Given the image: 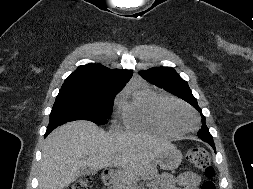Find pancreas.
Segmentation results:
<instances>
[{
    "label": "pancreas",
    "instance_id": "cf45deb5",
    "mask_svg": "<svg viewBox=\"0 0 253 189\" xmlns=\"http://www.w3.org/2000/svg\"><path fill=\"white\" fill-rule=\"evenodd\" d=\"M157 176L158 172L155 165H147L140 170H119L112 177V186L109 189H130L138 177L150 180Z\"/></svg>",
    "mask_w": 253,
    "mask_h": 189
}]
</instances>
